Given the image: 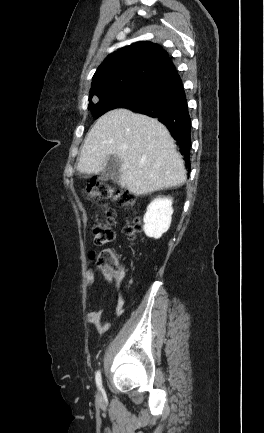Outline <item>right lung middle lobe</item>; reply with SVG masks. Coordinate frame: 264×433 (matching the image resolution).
Returning a JSON list of instances; mask_svg holds the SVG:
<instances>
[{
  "mask_svg": "<svg viewBox=\"0 0 264 433\" xmlns=\"http://www.w3.org/2000/svg\"><path fill=\"white\" fill-rule=\"evenodd\" d=\"M142 84L129 86L119 91L99 97L98 102H92L89 99L88 109L91 110L95 118L100 117L109 110L115 108H124L138 93Z\"/></svg>",
  "mask_w": 264,
  "mask_h": 433,
  "instance_id": "1",
  "label": "right lung middle lobe"
}]
</instances>
